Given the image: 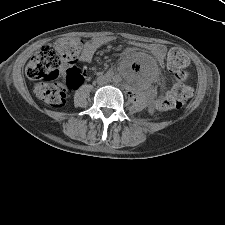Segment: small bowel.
Wrapping results in <instances>:
<instances>
[{"mask_svg":"<svg viewBox=\"0 0 225 225\" xmlns=\"http://www.w3.org/2000/svg\"><path fill=\"white\" fill-rule=\"evenodd\" d=\"M111 41L110 37H96L84 43L81 52V61L90 63L96 51ZM159 62H162L166 55V48L160 44H151L145 47ZM134 49L127 48L125 54H130Z\"/></svg>","mask_w":225,"mask_h":225,"instance_id":"1","label":"small bowel"}]
</instances>
